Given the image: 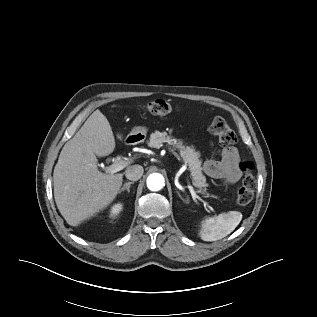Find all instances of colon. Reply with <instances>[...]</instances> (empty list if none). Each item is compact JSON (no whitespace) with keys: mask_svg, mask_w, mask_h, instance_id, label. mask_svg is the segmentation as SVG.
<instances>
[{"mask_svg":"<svg viewBox=\"0 0 317 317\" xmlns=\"http://www.w3.org/2000/svg\"><path fill=\"white\" fill-rule=\"evenodd\" d=\"M146 111L152 115H165L172 111V106L166 100L157 99L149 102ZM210 131L217 136L223 146H231L237 142L235 132L228 126L222 117H215L210 124ZM242 173V186L236 193L235 201L238 206L249 204L254 197L256 181L254 177V166L248 160L240 163Z\"/></svg>","mask_w":317,"mask_h":317,"instance_id":"obj_1","label":"colon"}]
</instances>
